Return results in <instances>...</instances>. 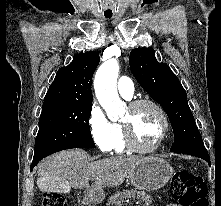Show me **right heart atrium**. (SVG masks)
I'll return each mask as SVG.
<instances>
[{
	"label": "right heart atrium",
	"instance_id": "1",
	"mask_svg": "<svg viewBox=\"0 0 221 206\" xmlns=\"http://www.w3.org/2000/svg\"><path fill=\"white\" fill-rule=\"evenodd\" d=\"M88 125L93 142L101 152H109L115 139V124L105 115L100 105L94 101L91 105Z\"/></svg>",
	"mask_w": 221,
	"mask_h": 206
}]
</instances>
